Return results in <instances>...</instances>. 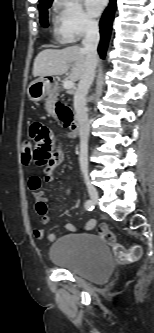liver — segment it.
<instances>
[{
  "label": "liver",
  "instance_id": "1",
  "mask_svg": "<svg viewBox=\"0 0 154 333\" xmlns=\"http://www.w3.org/2000/svg\"><path fill=\"white\" fill-rule=\"evenodd\" d=\"M73 63L70 80L82 78L86 68V52L79 46L64 49H45L34 60L33 76L45 77L65 74Z\"/></svg>",
  "mask_w": 154,
  "mask_h": 333
}]
</instances>
